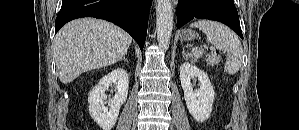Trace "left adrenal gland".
Instances as JSON below:
<instances>
[{"label": "left adrenal gland", "instance_id": "1", "mask_svg": "<svg viewBox=\"0 0 299 130\" xmlns=\"http://www.w3.org/2000/svg\"><path fill=\"white\" fill-rule=\"evenodd\" d=\"M183 58L186 60L187 59V54L185 52H183Z\"/></svg>", "mask_w": 299, "mask_h": 130}]
</instances>
